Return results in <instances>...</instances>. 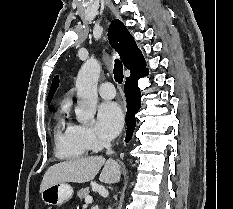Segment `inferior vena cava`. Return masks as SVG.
<instances>
[{"instance_id": "1", "label": "inferior vena cava", "mask_w": 233, "mask_h": 209, "mask_svg": "<svg viewBox=\"0 0 233 209\" xmlns=\"http://www.w3.org/2000/svg\"><path fill=\"white\" fill-rule=\"evenodd\" d=\"M103 146L106 148V154H112L111 143L109 141L103 142Z\"/></svg>"}]
</instances>
